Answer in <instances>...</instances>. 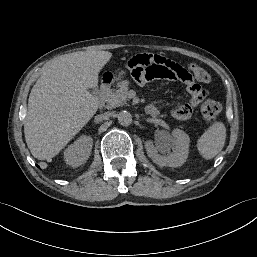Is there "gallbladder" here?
<instances>
[{"label":"gallbladder","instance_id":"obj_1","mask_svg":"<svg viewBox=\"0 0 257 257\" xmlns=\"http://www.w3.org/2000/svg\"><path fill=\"white\" fill-rule=\"evenodd\" d=\"M91 92H92L93 95H97L98 94V88H94Z\"/></svg>","mask_w":257,"mask_h":257}]
</instances>
